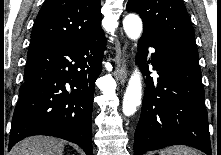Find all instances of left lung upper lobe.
I'll return each instance as SVG.
<instances>
[{"mask_svg": "<svg viewBox=\"0 0 221 155\" xmlns=\"http://www.w3.org/2000/svg\"><path fill=\"white\" fill-rule=\"evenodd\" d=\"M143 20V35L196 51L194 30L182 0H128Z\"/></svg>", "mask_w": 221, "mask_h": 155, "instance_id": "5c2ea615", "label": "left lung upper lobe"}]
</instances>
